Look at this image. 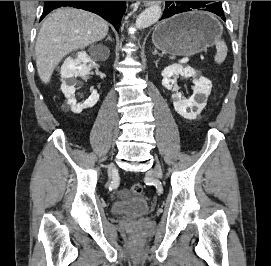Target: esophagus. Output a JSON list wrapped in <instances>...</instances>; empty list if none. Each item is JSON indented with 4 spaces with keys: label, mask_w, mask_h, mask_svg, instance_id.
Returning <instances> with one entry per match:
<instances>
[{
    "label": "esophagus",
    "mask_w": 271,
    "mask_h": 266,
    "mask_svg": "<svg viewBox=\"0 0 271 266\" xmlns=\"http://www.w3.org/2000/svg\"><path fill=\"white\" fill-rule=\"evenodd\" d=\"M143 3L145 6H150L153 4H159V3H161V1H143Z\"/></svg>",
    "instance_id": "esophagus-1"
}]
</instances>
